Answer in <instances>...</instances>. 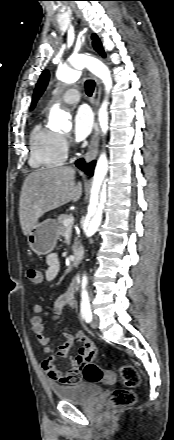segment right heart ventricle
I'll return each mask as SVG.
<instances>
[{"instance_id":"1","label":"right heart ventricle","mask_w":174,"mask_h":440,"mask_svg":"<svg viewBox=\"0 0 174 440\" xmlns=\"http://www.w3.org/2000/svg\"><path fill=\"white\" fill-rule=\"evenodd\" d=\"M29 163L33 168H53L62 165L67 152L62 144V136L38 123L29 139Z\"/></svg>"}]
</instances>
